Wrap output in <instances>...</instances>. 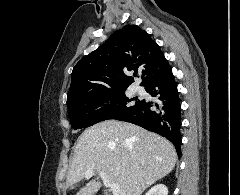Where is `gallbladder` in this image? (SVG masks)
I'll return each instance as SVG.
<instances>
[{"instance_id": "1", "label": "gallbladder", "mask_w": 240, "mask_h": 195, "mask_svg": "<svg viewBox=\"0 0 240 195\" xmlns=\"http://www.w3.org/2000/svg\"><path fill=\"white\" fill-rule=\"evenodd\" d=\"M103 195H113V193L110 190H103Z\"/></svg>"}]
</instances>
